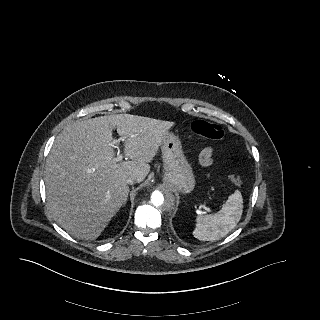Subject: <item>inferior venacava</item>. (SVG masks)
I'll list each match as a JSON object with an SVG mask.
<instances>
[{
  "instance_id": "obj_1",
  "label": "inferior vena cava",
  "mask_w": 320,
  "mask_h": 320,
  "mask_svg": "<svg viewBox=\"0 0 320 320\" xmlns=\"http://www.w3.org/2000/svg\"><path fill=\"white\" fill-rule=\"evenodd\" d=\"M136 180H137V179H136L135 176H130V177L127 178L126 181H127L128 184H133V183L136 182Z\"/></svg>"
}]
</instances>
